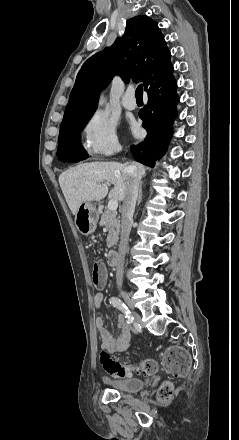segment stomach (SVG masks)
Masks as SVG:
<instances>
[{
  "label": "stomach",
  "instance_id": "1",
  "mask_svg": "<svg viewBox=\"0 0 239 440\" xmlns=\"http://www.w3.org/2000/svg\"><path fill=\"white\" fill-rule=\"evenodd\" d=\"M99 214L96 204L93 202H83L80 204L75 214V226L83 236H89L96 230Z\"/></svg>",
  "mask_w": 239,
  "mask_h": 440
}]
</instances>
